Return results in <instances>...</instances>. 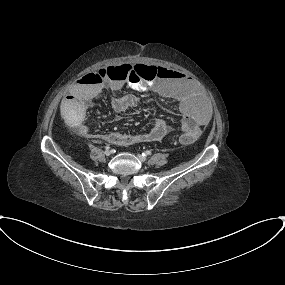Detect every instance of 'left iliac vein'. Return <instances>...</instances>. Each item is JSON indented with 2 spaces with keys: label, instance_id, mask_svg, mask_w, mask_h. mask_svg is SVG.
I'll return each mask as SVG.
<instances>
[{
  "label": "left iliac vein",
  "instance_id": "1",
  "mask_svg": "<svg viewBox=\"0 0 285 285\" xmlns=\"http://www.w3.org/2000/svg\"><path fill=\"white\" fill-rule=\"evenodd\" d=\"M137 157H138V159H139L141 162H145V161H146V157L142 156L141 154H138Z\"/></svg>",
  "mask_w": 285,
  "mask_h": 285
}]
</instances>
